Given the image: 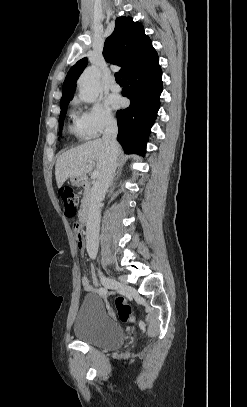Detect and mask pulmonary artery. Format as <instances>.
I'll list each match as a JSON object with an SVG mask.
<instances>
[{
  "mask_svg": "<svg viewBox=\"0 0 247 407\" xmlns=\"http://www.w3.org/2000/svg\"><path fill=\"white\" fill-rule=\"evenodd\" d=\"M109 87H110V89H111L112 91H114V92L120 91V86H119L114 80H111V81L109 82Z\"/></svg>",
  "mask_w": 247,
  "mask_h": 407,
  "instance_id": "1",
  "label": "pulmonary artery"
}]
</instances>
